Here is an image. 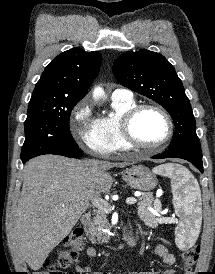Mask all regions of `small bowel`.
<instances>
[{"label": "small bowel", "instance_id": "1", "mask_svg": "<svg viewBox=\"0 0 215 274\" xmlns=\"http://www.w3.org/2000/svg\"><path fill=\"white\" fill-rule=\"evenodd\" d=\"M155 253L162 259L163 263L168 267V269L162 272L161 274H174L175 271L172 269V267L174 266L176 262V258L174 254L170 253L163 244H157L155 246ZM86 254L89 258L93 259L96 257L97 251L94 247H88L86 249ZM72 273L73 274H90L91 268L89 265L81 266L80 262L77 261L75 265V269ZM91 274H111V273L93 272ZM130 274H158V273L147 272V271H136V272H131Z\"/></svg>", "mask_w": 215, "mask_h": 274}]
</instances>
